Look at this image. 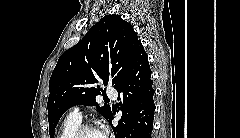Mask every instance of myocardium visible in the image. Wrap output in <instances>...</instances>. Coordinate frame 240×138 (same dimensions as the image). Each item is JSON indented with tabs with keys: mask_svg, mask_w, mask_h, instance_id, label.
Wrapping results in <instances>:
<instances>
[{
	"mask_svg": "<svg viewBox=\"0 0 240 138\" xmlns=\"http://www.w3.org/2000/svg\"><path fill=\"white\" fill-rule=\"evenodd\" d=\"M88 130H97V128L89 123L80 124L70 135L69 138H81L82 134Z\"/></svg>",
	"mask_w": 240,
	"mask_h": 138,
	"instance_id": "myocardium-1",
	"label": "myocardium"
}]
</instances>
